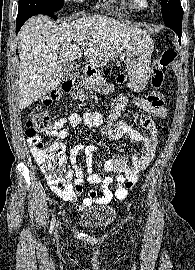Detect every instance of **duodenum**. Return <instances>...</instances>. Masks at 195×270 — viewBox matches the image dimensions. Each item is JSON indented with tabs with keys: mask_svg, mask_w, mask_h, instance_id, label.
<instances>
[{
	"mask_svg": "<svg viewBox=\"0 0 195 270\" xmlns=\"http://www.w3.org/2000/svg\"><path fill=\"white\" fill-rule=\"evenodd\" d=\"M85 75L88 79H92L95 76V70L89 66L85 67Z\"/></svg>",
	"mask_w": 195,
	"mask_h": 270,
	"instance_id": "1",
	"label": "duodenum"
}]
</instances>
